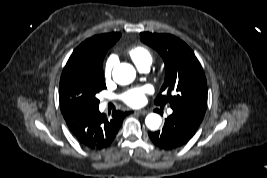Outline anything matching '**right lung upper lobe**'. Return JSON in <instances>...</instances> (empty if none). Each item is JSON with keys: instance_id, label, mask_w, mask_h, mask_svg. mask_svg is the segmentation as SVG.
I'll list each match as a JSON object with an SVG mask.
<instances>
[{"instance_id": "1", "label": "right lung upper lobe", "mask_w": 267, "mask_h": 178, "mask_svg": "<svg viewBox=\"0 0 267 178\" xmlns=\"http://www.w3.org/2000/svg\"><path fill=\"white\" fill-rule=\"evenodd\" d=\"M120 33H107L93 36L82 42L70 56L65 68H69L74 65H79L85 61H91L98 63L103 59V50L108 49L120 38ZM106 54V53H105Z\"/></svg>"}]
</instances>
